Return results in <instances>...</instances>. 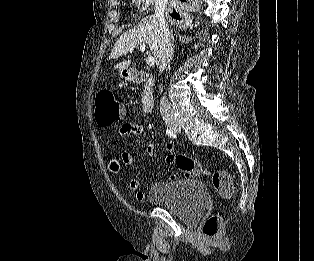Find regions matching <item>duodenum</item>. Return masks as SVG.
Masks as SVG:
<instances>
[{"instance_id": "410a0bca", "label": "duodenum", "mask_w": 314, "mask_h": 261, "mask_svg": "<svg viewBox=\"0 0 314 261\" xmlns=\"http://www.w3.org/2000/svg\"><path fill=\"white\" fill-rule=\"evenodd\" d=\"M131 80L136 84L145 85L142 97V112L144 114L151 113L154 106V77L147 72L133 71Z\"/></svg>"}]
</instances>
